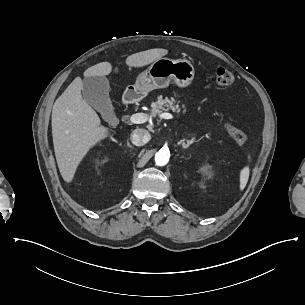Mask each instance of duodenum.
<instances>
[{"instance_id": "1", "label": "duodenum", "mask_w": 305, "mask_h": 305, "mask_svg": "<svg viewBox=\"0 0 305 305\" xmlns=\"http://www.w3.org/2000/svg\"><path fill=\"white\" fill-rule=\"evenodd\" d=\"M132 98H133L132 96H128V95H125V96H124L125 102H128V101L131 100Z\"/></svg>"}]
</instances>
